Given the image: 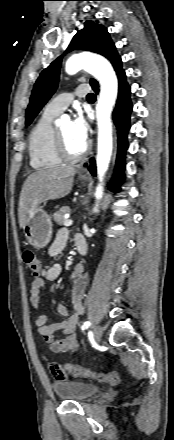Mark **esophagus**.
I'll return each mask as SVG.
<instances>
[{
  "label": "esophagus",
  "instance_id": "1",
  "mask_svg": "<svg viewBox=\"0 0 174 440\" xmlns=\"http://www.w3.org/2000/svg\"><path fill=\"white\" fill-rule=\"evenodd\" d=\"M79 173H80V174H84V175H87V174H88L87 169H86V168H83V167H81V168L79 169Z\"/></svg>",
  "mask_w": 174,
  "mask_h": 440
}]
</instances>
